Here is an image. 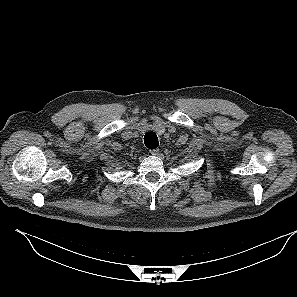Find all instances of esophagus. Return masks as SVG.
<instances>
[{
	"label": "esophagus",
	"instance_id": "esophagus-1",
	"mask_svg": "<svg viewBox=\"0 0 297 297\" xmlns=\"http://www.w3.org/2000/svg\"><path fill=\"white\" fill-rule=\"evenodd\" d=\"M149 152L151 155H157L159 153V149H151Z\"/></svg>",
	"mask_w": 297,
	"mask_h": 297
}]
</instances>
